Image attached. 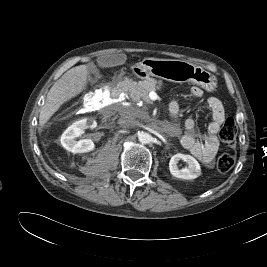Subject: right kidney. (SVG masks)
<instances>
[{
	"label": "right kidney",
	"mask_w": 267,
	"mask_h": 267,
	"mask_svg": "<svg viewBox=\"0 0 267 267\" xmlns=\"http://www.w3.org/2000/svg\"><path fill=\"white\" fill-rule=\"evenodd\" d=\"M96 126V121L92 119H82L74 122L63 132L61 136L62 146L74 154L86 153L94 150L95 145L91 139H81L77 141L76 138L81 136L85 129H94Z\"/></svg>",
	"instance_id": "right-kidney-1"
}]
</instances>
